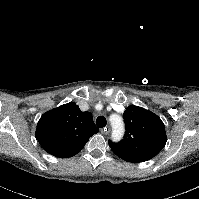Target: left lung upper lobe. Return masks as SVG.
Returning <instances> with one entry per match:
<instances>
[{
    "instance_id": "left-lung-upper-lobe-1",
    "label": "left lung upper lobe",
    "mask_w": 199,
    "mask_h": 199,
    "mask_svg": "<svg viewBox=\"0 0 199 199\" xmlns=\"http://www.w3.org/2000/svg\"><path fill=\"white\" fill-rule=\"evenodd\" d=\"M126 133L119 143L109 141L112 151L128 162H144L156 156L166 144L162 120L151 111L130 105L123 114Z\"/></svg>"
}]
</instances>
